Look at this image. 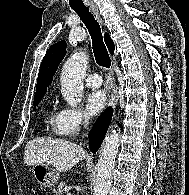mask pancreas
Returning <instances> with one entry per match:
<instances>
[{
  "label": "pancreas",
  "instance_id": "cf45deb5",
  "mask_svg": "<svg viewBox=\"0 0 189 195\" xmlns=\"http://www.w3.org/2000/svg\"><path fill=\"white\" fill-rule=\"evenodd\" d=\"M65 187H66V184L61 182L58 184L57 188L54 191L57 195H63V191Z\"/></svg>",
  "mask_w": 189,
  "mask_h": 195
}]
</instances>
